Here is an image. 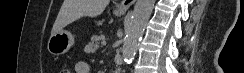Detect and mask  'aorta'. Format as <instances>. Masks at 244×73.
Listing matches in <instances>:
<instances>
[{"label":"aorta","mask_w":244,"mask_h":73,"mask_svg":"<svg viewBox=\"0 0 244 73\" xmlns=\"http://www.w3.org/2000/svg\"><path fill=\"white\" fill-rule=\"evenodd\" d=\"M155 0H137L123 45V58L130 64L154 8Z\"/></svg>","instance_id":"762f6f07"}]
</instances>
